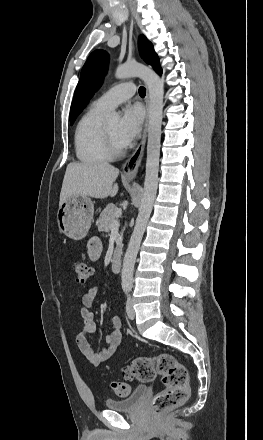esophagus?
<instances>
[{"mask_svg": "<svg viewBox=\"0 0 263 440\" xmlns=\"http://www.w3.org/2000/svg\"><path fill=\"white\" fill-rule=\"evenodd\" d=\"M145 109H146V120L144 124L141 141L138 144L135 151L129 156V158L125 161L123 165L122 177H124L125 179L132 180L135 178L144 155L146 140H147V127H148V114H149L148 92L145 98Z\"/></svg>", "mask_w": 263, "mask_h": 440, "instance_id": "obj_1", "label": "esophagus"}]
</instances>
